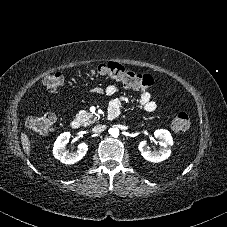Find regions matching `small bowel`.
Masks as SVG:
<instances>
[{
    "label": "small bowel",
    "mask_w": 227,
    "mask_h": 227,
    "mask_svg": "<svg viewBox=\"0 0 227 227\" xmlns=\"http://www.w3.org/2000/svg\"><path fill=\"white\" fill-rule=\"evenodd\" d=\"M96 94H105L106 96H114L117 92V88L114 85H109L105 89L96 87L91 90ZM122 102H127V98H119L112 101L110 109H115L119 112ZM139 103L146 112L152 113L157 109V103L153 100L151 94L148 91H142L139 96Z\"/></svg>",
    "instance_id": "1"
}]
</instances>
